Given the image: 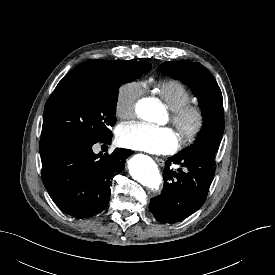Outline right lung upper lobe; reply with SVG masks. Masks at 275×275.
Returning <instances> with one entry per match:
<instances>
[{"label": "right lung upper lobe", "instance_id": "right-lung-upper-lobe-1", "mask_svg": "<svg viewBox=\"0 0 275 275\" xmlns=\"http://www.w3.org/2000/svg\"><path fill=\"white\" fill-rule=\"evenodd\" d=\"M121 61L118 60H88L77 65L63 79L79 78L88 75H111ZM50 151L48 148H41L40 154Z\"/></svg>", "mask_w": 275, "mask_h": 275}]
</instances>
